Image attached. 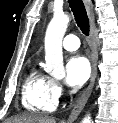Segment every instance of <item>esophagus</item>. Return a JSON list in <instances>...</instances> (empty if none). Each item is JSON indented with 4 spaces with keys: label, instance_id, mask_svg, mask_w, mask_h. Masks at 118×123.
I'll return each mask as SVG.
<instances>
[{
    "label": "esophagus",
    "instance_id": "1",
    "mask_svg": "<svg viewBox=\"0 0 118 123\" xmlns=\"http://www.w3.org/2000/svg\"><path fill=\"white\" fill-rule=\"evenodd\" d=\"M86 10L88 13V17L90 20V38H91V63H92V73L88 87L82 92L79 96L76 105L74 106L71 114L69 115L68 122H73L79 116L81 111L83 110L85 104L87 103L92 89L94 87L95 79L97 76V60H98V52L95 46L94 36H95V14L91 1L84 0Z\"/></svg>",
    "mask_w": 118,
    "mask_h": 123
}]
</instances>
